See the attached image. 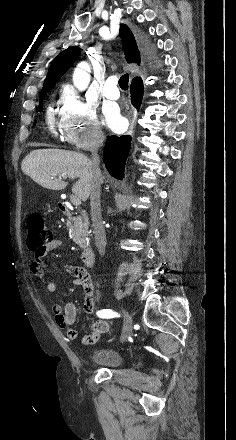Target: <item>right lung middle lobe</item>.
I'll use <instances>...</instances> for the list:
<instances>
[{
	"label": "right lung middle lobe",
	"instance_id": "right-lung-middle-lobe-1",
	"mask_svg": "<svg viewBox=\"0 0 236 440\" xmlns=\"http://www.w3.org/2000/svg\"><path fill=\"white\" fill-rule=\"evenodd\" d=\"M44 97H45V94H44L43 96H41L40 99H39V110L42 109V105H43V99H44Z\"/></svg>",
	"mask_w": 236,
	"mask_h": 440
}]
</instances>
